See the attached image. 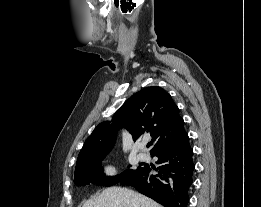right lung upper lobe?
<instances>
[{
    "instance_id": "obj_1",
    "label": "right lung upper lobe",
    "mask_w": 261,
    "mask_h": 207,
    "mask_svg": "<svg viewBox=\"0 0 261 207\" xmlns=\"http://www.w3.org/2000/svg\"><path fill=\"white\" fill-rule=\"evenodd\" d=\"M121 127L131 133L134 141L150 135L154 142L151 154L176 145L188 136L170 94L157 86L147 87L131 96L110 121L102 122L94 129L78 155L76 167L105 157L113 148Z\"/></svg>"
}]
</instances>
